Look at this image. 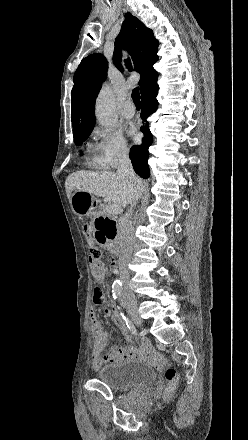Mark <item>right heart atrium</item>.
<instances>
[{
    "instance_id": "1",
    "label": "right heart atrium",
    "mask_w": 248,
    "mask_h": 440,
    "mask_svg": "<svg viewBox=\"0 0 248 440\" xmlns=\"http://www.w3.org/2000/svg\"><path fill=\"white\" fill-rule=\"evenodd\" d=\"M93 136V164L101 169H111L118 166L129 156L128 144L120 132L104 128H95Z\"/></svg>"
}]
</instances>
